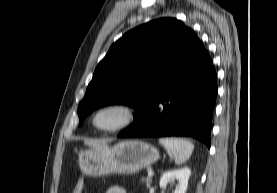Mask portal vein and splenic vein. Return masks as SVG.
Returning a JSON list of instances; mask_svg holds the SVG:
<instances>
[{"mask_svg":"<svg viewBox=\"0 0 277 193\" xmlns=\"http://www.w3.org/2000/svg\"><path fill=\"white\" fill-rule=\"evenodd\" d=\"M154 175L153 171H148V177H152Z\"/></svg>","mask_w":277,"mask_h":193,"instance_id":"18ae733b","label":"portal vein and splenic vein"}]
</instances>
